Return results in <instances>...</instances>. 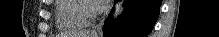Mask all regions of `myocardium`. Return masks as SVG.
Instances as JSON below:
<instances>
[{
	"instance_id": "f54148a6",
	"label": "myocardium",
	"mask_w": 219,
	"mask_h": 37,
	"mask_svg": "<svg viewBox=\"0 0 219 37\" xmlns=\"http://www.w3.org/2000/svg\"><path fill=\"white\" fill-rule=\"evenodd\" d=\"M104 11V8L97 7L94 1L85 2V15L90 20L98 18Z\"/></svg>"
}]
</instances>
